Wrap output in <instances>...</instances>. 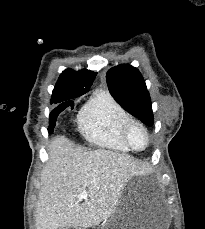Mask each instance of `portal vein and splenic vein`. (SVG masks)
I'll return each instance as SVG.
<instances>
[{"label": "portal vein and splenic vein", "mask_w": 205, "mask_h": 229, "mask_svg": "<svg viewBox=\"0 0 205 229\" xmlns=\"http://www.w3.org/2000/svg\"><path fill=\"white\" fill-rule=\"evenodd\" d=\"M80 200L82 199H87L88 197V191L87 190H84L82 193H80L78 196H77Z\"/></svg>", "instance_id": "1"}]
</instances>
